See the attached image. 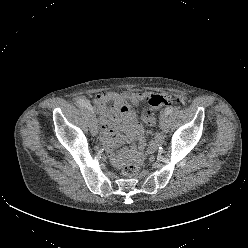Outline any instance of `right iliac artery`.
I'll use <instances>...</instances> for the list:
<instances>
[{"label": "right iliac artery", "mask_w": 248, "mask_h": 248, "mask_svg": "<svg viewBox=\"0 0 248 248\" xmlns=\"http://www.w3.org/2000/svg\"><path fill=\"white\" fill-rule=\"evenodd\" d=\"M77 104L80 106V107H85L89 110H93L91 104L89 102H87L85 99H81V98H78L77 99Z\"/></svg>", "instance_id": "82829eb1"}]
</instances>
